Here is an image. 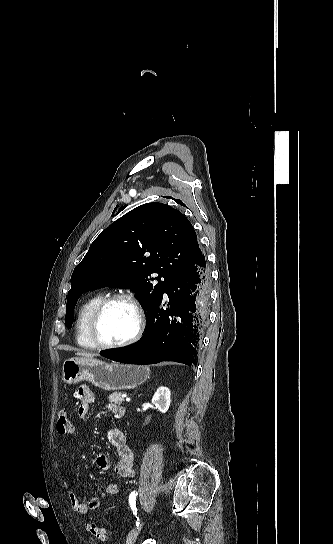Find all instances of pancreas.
I'll return each mask as SVG.
<instances>
[{
    "mask_svg": "<svg viewBox=\"0 0 333 544\" xmlns=\"http://www.w3.org/2000/svg\"><path fill=\"white\" fill-rule=\"evenodd\" d=\"M121 392H114L111 395H109L108 399L110 402L115 404H122L124 402V399L121 397Z\"/></svg>",
    "mask_w": 333,
    "mask_h": 544,
    "instance_id": "cf45deb5",
    "label": "pancreas"
}]
</instances>
